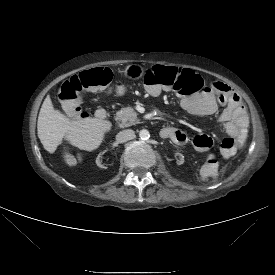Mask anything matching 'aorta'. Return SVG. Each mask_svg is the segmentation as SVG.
Returning <instances> with one entry per match:
<instances>
[{
	"mask_svg": "<svg viewBox=\"0 0 275 275\" xmlns=\"http://www.w3.org/2000/svg\"><path fill=\"white\" fill-rule=\"evenodd\" d=\"M139 137L142 139V140H147L149 137H150V133L148 130L146 129H143L139 132Z\"/></svg>",
	"mask_w": 275,
	"mask_h": 275,
	"instance_id": "762f6f07",
	"label": "aorta"
}]
</instances>
